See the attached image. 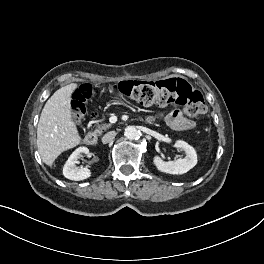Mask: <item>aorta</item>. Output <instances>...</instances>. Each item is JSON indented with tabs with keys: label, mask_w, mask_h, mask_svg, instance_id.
<instances>
[{
	"label": "aorta",
	"mask_w": 264,
	"mask_h": 264,
	"mask_svg": "<svg viewBox=\"0 0 264 264\" xmlns=\"http://www.w3.org/2000/svg\"><path fill=\"white\" fill-rule=\"evenodd\" d=\"M124 135L129 140H134L139 137V132L134 126H127L124 131Z\"/></svg>",
	"instance_id": "aorta-1"
}]
</instances>
